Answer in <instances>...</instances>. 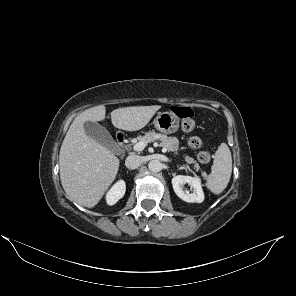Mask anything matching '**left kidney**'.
I'll list each match as a JSON object with an SVG mask.
<instances>
[{"label": "left kidney", "mask_w": 296, "mask_h": 296, "mask_svg": "<svg viewBox=\"0 0 296 296\" xmlns=\"http://www.w3.org/2000/svg\"><path fill=\"white\" fill-rule=\"evenodd\" d=\"M188 184L191 189H193L192 193H189L184 190V185ZM173 190L176 195L189 203H201L204 200V193L201 186V179L199 177H190L178 175L173 177L172 179Z\"/></svg>", "instance_id": "1"}]
</instances>
